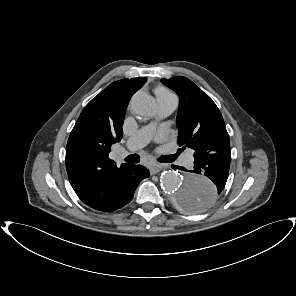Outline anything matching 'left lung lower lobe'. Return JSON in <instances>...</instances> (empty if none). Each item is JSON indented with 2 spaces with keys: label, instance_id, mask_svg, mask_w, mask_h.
<instances>
[{
  "label": "left lung lower lobe",
  "instance_id": "0a47b994",
  "mask_svg": "<svg viewBox=\"0 0 296 296\" xmlns=\"http://www.w3.org/2000/svg\"><path fill=\"white\" fill-rule=\"evenodd\" d=\"M230 161L231 150H224L195 159L194 168L190 171L184 167L173 165L174 169L190 172L191 174H188V177L206 176L215 184L214 190L211 191H200L193 195L183 194V208L193 212L208 208L225 187Z\"/></svg>",
  "mask_w": 296,
  "mask_h": 296
}]
</instances>
